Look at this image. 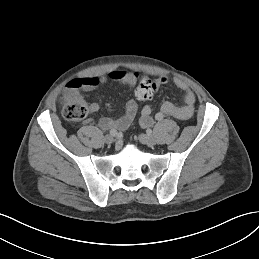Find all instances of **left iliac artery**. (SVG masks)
I'll return each mask as SVG.
<instances>
[{
  "label": "left iliac artery",
  "mask_w": 259,
  "mask_h": 259,
  "mask_svg": "<svg viewBox=\"0 0 259 259\" xmlns=\"http://www.w3.org/2000/svg\"><path fill=\"white\" fill-rule=\"evenodd\" d=\"M163 118H164V114L162 112H159L155 115V119L158 121L163 120Z\"/></svg>",
  "instance_id": "44dca946"
}]
</instances>
